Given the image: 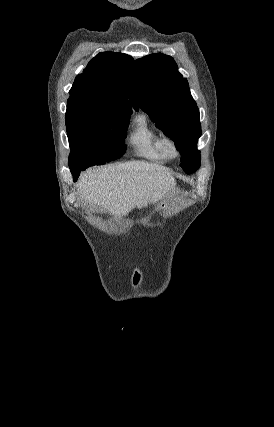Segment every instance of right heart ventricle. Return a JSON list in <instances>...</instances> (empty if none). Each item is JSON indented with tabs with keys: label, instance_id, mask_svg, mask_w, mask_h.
<instances>
[{
	"label": "right heart ventricle",
	"instance_id": "obj_1",
	"mask_svg": "<svg viewBox=\"0 0 274 427\" xmlns=\"http://www.w3.org/2000/svg\"><path fill=\"white\" fill-rule=\"evenodd\" d=\"M127 143L131 153L136 157L153 163H162L167 159L161 135L143 119L140 126L128 137Z\"/></svg>",
	"mask_w": 274,
	"mask_h": 427
}]
</instances>
